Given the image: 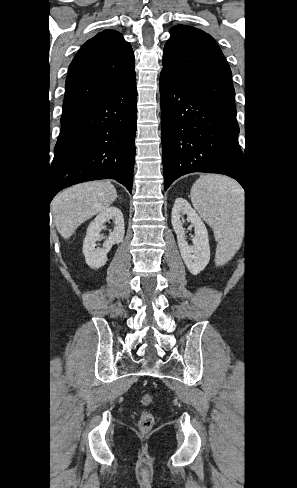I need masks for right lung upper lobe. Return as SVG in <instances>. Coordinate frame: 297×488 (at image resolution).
<instances>
[{
  "label": "right lung upper lobe",
  "instance_id": "obj_1",
  "mask_svg": "<svg viewBox=\"0 0 297 488\" xmlns=\"http://www.w3.org/2000/svg\"><path fill=\"white\" fill-rule=\"evenodd\" d=\"M133 76L130 43L115 30L98 33L80 48L69 66L62 117L107 95Z\"/></svg>",
  "mask_w": 297,
  "mask_h": 488
}]
</instances>
